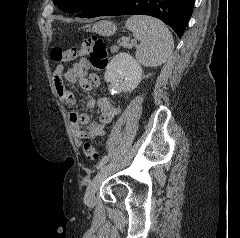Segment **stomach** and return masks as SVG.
<instances>
[{"label":"stomach","mask_w":240,"mask_h":238,"mask_svg":"<svg viewBox=\"0 0 240 238\" xmlns=\"http://www.w3.org/2000/svg\"><path fill=\"white\" fill-rule=\"evenodd\" d=\"M116 30H117L116 24L109 20L99 21L95 23L91 29V31L103 36L113 35L116 32Z\"/></svg>","instance_id":"obj_1"}]
</instances>
